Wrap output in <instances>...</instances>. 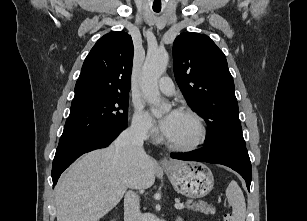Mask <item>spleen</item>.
I'll return each mask as SVG.
<instances>
[{"label": "spleen", "mask_w": 307, "mask_h": 221, "mask_svg": "<svg viewBox=\"0 0 307 221\" xmlns=\"http://www.w3.org/2000/svg\"><path fill=\"white\" fill-rule=\"evenodd\" d=\"M226 196L232 207L234 221H245L246 203L243 192L237 182L231 181L226 189Z\"/></svg>", "instance_id": "obj_1"}]
</instances>
